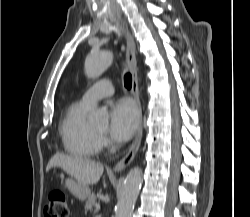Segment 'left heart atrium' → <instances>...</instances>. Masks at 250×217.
<instances>
[{
    "mask_svg": "<svg viewBox=\"0 0 250 217\" xmlns=\"http://www.w3.org/2000/svg\"><path fill=\"white\" fill-rule=\"evenodd\" d=\"M138 125L139 112L131 100L123 98L112 104L109 133L114 140L124 142L130 139Z\"/></svg>",
    "mask_w": 250,
    "mask_h": 217,
    "instance_id": "obj_1",
    "label": "left heart atrium"
}]
</instances>
